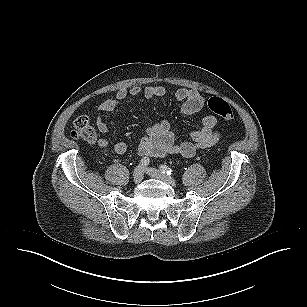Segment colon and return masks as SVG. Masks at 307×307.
Instances as JSON below:
<instances>
[{"label":"colon","instance_id":"colon-1","mask_svg":"<svg viewBox=\"0 0 307 307\" xmlns=\"http://www.w3.org/2000/svg\"><path fill=\"white\" fill-rule=\"evenodd\" d=\"M207 106L210 111L219 115L224 120H233L234 114L230 105L220 97H212L208 100ZM72 137L77 140L95 142L97 139L96 132L85 116H80L74 121Z\"/></svg>","mask_w":307,"mask_h":307}]
</instances>
